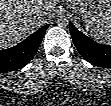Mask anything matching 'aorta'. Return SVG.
Masks as SVG:
<instances>
[{"instance_id":"obj_1","label":"aorta","mask_w":111,"mask_h":106,"mask_svg":"<svg viewBox=\"0 0 111 106\" xmlns=\"http://www.w3.org/2000/svg\"><path fill=\"white\" fill-rule=\"evenodd\" d=\"M57 24L61 27H65L68 25V20L66 17L62 16L57 19Z\"/></svg>"}]
</instances>
